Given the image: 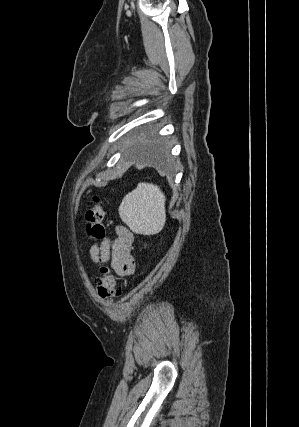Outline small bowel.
Segmentation results:
<instances>
[{
  "instance_id": "obj_1",
  "label": "small bowel",
  "mask_w": 299,
  "mask_h": 427,
  "mask_svg": "<svg viewBox=\"0 0 299 427\" xmlns=\"http://www.w3.org/2000/svg\"><path fill=\"white\" fill-rule=\"evenodd\" d=\"M116 238H106L101 244L91 246L89 254L93 263L99 261L109 263L119 276H127L134 272L135 260L132 256L134 234L124 225L115 227Z\"/></svg>"
}]
</instances>
